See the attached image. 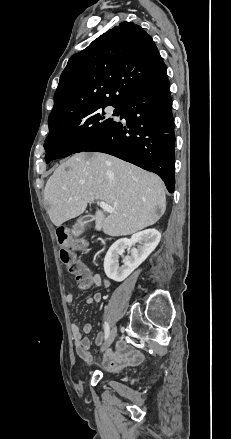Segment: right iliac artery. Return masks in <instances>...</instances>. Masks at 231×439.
<instances>
[{"label": "right iliac artery", "instance_id": "right-iliac-artery-1", "mask_svg": "<svg viewBox=\"0 0 231 439\" xmlns=\"http://www.w3.org/2000/svg\"><path fill=\"white\" fill-rule=\"evenodd\" d=\"M105 339H107L108 338V336H109V333H110V327H109V324H108V322H105Z\"/></svg>", "mask_w": 231, "mask_h": 439}]
</instances>
